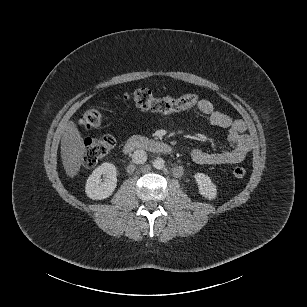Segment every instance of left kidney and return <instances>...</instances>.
<instances>
[{
    "instance_id": "1",
    "label": "left kidney",
    "mask_w": 307,
    "mask_h": 307,
    "mask_svg": "<svg viewBox=\"0 0 307 307\" xmlns=\"http://www.w3.org/2000/svg\"><path fill=\"white\" fill-rule=\"evenodd\" d=\"M194 178L198 184L199 193L203 197L209 200H213L216 198L217 195L216 185L211 182V179L207 175L203 173H196L194 175Z\"/></svg>"
}]
</instances>
